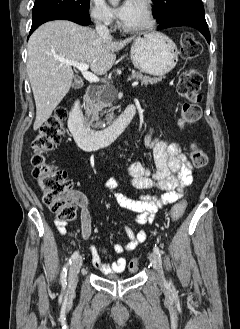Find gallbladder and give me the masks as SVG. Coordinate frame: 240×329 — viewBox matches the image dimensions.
I'll use <instances>...</instances> for the list:
<instances>
[{"instance_id":"bac80fb5","label":"gallbladder","mask_w":240,"mask_h":329,"mask_svg":"<svg viewBox=\"0 0 240 329\" xmlns=\"http://www.w3.org/2000/svg\"><path fill=\"white\" fill-rule=\"evenodd\" d=\"M73 87H74V88H78V87H79V84L74 83V84H73Z\"/></svg>"}]
</instances>
